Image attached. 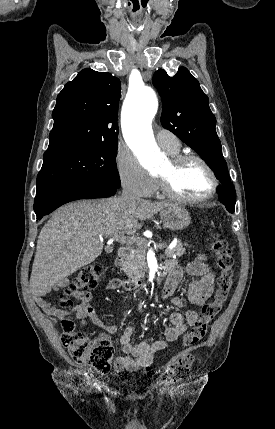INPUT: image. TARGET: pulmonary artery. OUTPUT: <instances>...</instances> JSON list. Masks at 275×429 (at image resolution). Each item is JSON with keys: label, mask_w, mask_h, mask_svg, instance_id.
Instances as JSON below:
<instances>
[{"label": "pulmonary artery", "mask_w": 275, "mask_h": 429, "mask_svg": "<svg viewBox=\"0 0 275 429\" xmlns=\"http://www.w3.org/2000/svg\"><path fill=\"white\" fill-rule=\"evenodd\" d=\"M156 137L159 145L166 151L174 152L179 150V140L173 133L166 130H159Z\"/></svg>", "instance_id": "obj_1"}]
</instances>
